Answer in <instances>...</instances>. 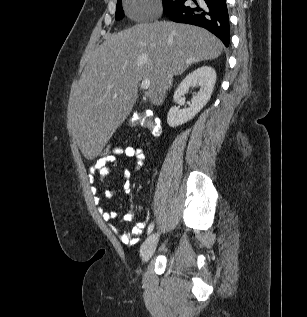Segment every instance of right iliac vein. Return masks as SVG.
I'll return each mask as SVG.
<instances>
[{
	"mask_svg": "<svg viewBox=\"0 0 307 317\" xmlns=\"http://www.w3.org/2000/svg\"><path fill=\"white\" fill-rule=\"evenodd\" d=\"M158 240L159 234L153 233L142 244L140 249V255L143 262H147L152 257V255L155 252Z\"/></svg>",
	"mask_w": 307,
	"mask_h": 317,
	"instance_id": "obj_1",
	"label": "right iliac vein"
}]
</instances>
